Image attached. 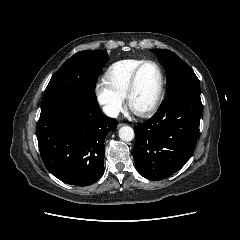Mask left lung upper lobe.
Instances as JSON below:
<instances>
[{
    "label": "left lung upper lobe",
    "instance_id": "1",
    "mask_svg": "<svg viewBox=\"0 0 240 240\" xmlns=\"http://www.w3.org/2000/svg\"><path fill=\"white\" fill-rule=\"evenodd\" d=\"M167 73V97L184 91L200 92V83L193 70L176 54L169 50H152Z\"/></svg>",
    "mask_w": 240,
    "mask_h": 240
}]
</instances>
